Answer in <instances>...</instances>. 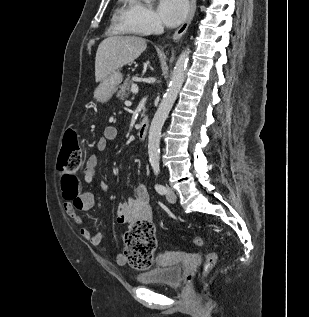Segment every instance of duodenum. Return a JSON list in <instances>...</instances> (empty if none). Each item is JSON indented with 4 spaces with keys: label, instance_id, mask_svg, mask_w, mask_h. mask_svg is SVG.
Listing matches in <instances>:
<instances>
[{
    "label": "duodenum",
    "instance_id": "1",
    "mask_svg": "<svg viewBox=\"0 0 309 317\" xmlns=\"http://www.w3.org/2000/svg\"><path fill=\"white\" fill-rule=\"evenodd\" d=\"M149 130V120L148 118H143L138 125V140L142 142L148 133Z\"/></svg>",
    "mask_w": 309,
    "mask_h": 317
}]
</instances>
